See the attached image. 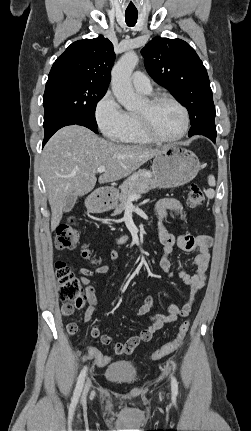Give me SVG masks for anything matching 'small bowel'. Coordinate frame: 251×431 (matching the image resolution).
Wrapping results in <instances>:
<instances>
[{"instance_id":"obj_1","label":"small bowel","mask_w":251,"mask_h":431,"mask_svg":"<svg viewBox=\"0 0 251 431\" xmlns=\"http://www.w3.org/2000/svg\"><path fill=\"white\" fill-rule=\"evenodd\" d=\"M154 216L156 219V231L160 243L163 246V255L159 261L160 268L169 276L173 277L174 273L171 270V261L169 254L177 247L186 252H196L194 257L195 272L190 274L186 271H181L179 277L190 288V293L186 302L178 307L170 305L167 314L153 313L154 303L150 294L145 297L144 303L136 311L137 316H147L150 324L140 332L139 335L130 337L123 343H116L113 346V352L116 355L130 354L142 342H148L153 334L162 327L175 322L179 318H184L189 315L192 307L196 301L198 291L204 286L206 273L210 260V248L212 245V238L208 235H192L187 232H182L179 235L170 233L164 226L163 221L172 216L178 220H184L186 213L185 208L181 201L174 198L161 199L154 205ZM120 255L119 251H113L107 259V263L98 266L94 269L80 268L78 274L81 282L86 288L88 306L84 313L85 322H91L95 307L98 303V298L94 286L91 284V277L95 275L105 274L111 270L110 263L116 260ZM64 314L65 316H70ZM74 326L71 328V326ZM68 333L71 335L76 334L77 326L69 324L67 326ZM91 336L103 345H109L113 342V336L102 334L100 327L97 324L92 325L90 330ZM95 350H98L95 347ZM77 354L74 359L77 362L89 363V358L86 357L87 349L82 350L81 346L73 348Z\"/></svg>"}]
</instances>
